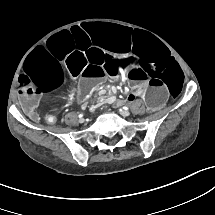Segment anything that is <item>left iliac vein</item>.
Instances as JSON below:
<instances>
[{"label": "left iliac vein", "mask_w": 215, "mask_h": 215, "mask_svg": "<svg viewBox=\"0 0 215 215\" xmlns=\"http://www.w3.org/2000/svg\"><path fill=\"white\" fill-rule=\"evenodd\" d=\"M120 114L124 117H128L130 115V112L128 110H120Z\"/></svg>", "instance_id": "1"}]
</instances>
